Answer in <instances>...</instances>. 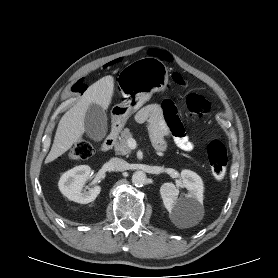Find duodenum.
Masks as SVG:
<instances>
[{
    "label": "duodenum",
    "instance_id": "duodenum-1",
    "mask_svg": "<svg viewBox=\"0 0 278 278\" xmlns=\"http://www.w3.org/2000/svg\"><path fill=\"white\" fill-rule=\"evenodd\" d=\"M119 131H120L119 125H114L112 127L110 133L107 135V137L105 138V140L103 141V143L101 145V150L103 152H107L112 149V147L114 146V144L117 140Z\"/></svg>",
    "mask_w": 278,
    "mask_h": 278
}]
</instances>
